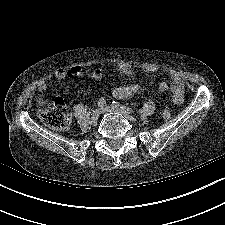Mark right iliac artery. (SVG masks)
Masks as SVG:
<instances>
[{"mask_svg":"<svg viewBox=\"0 0 225 225\" xmlns=\"http://www.w3.org/2000/svg\"><path fill=\"white\" fill-rule=\"evenodd\" d=\"M105 105H106L105 99H104V98H100V99L98 100V106L102 108V107L105 106Z\"/></svg>","mask_w":225,"mask_h":225,"instance_id":"1","label":"right iliac artery"}]
</instances>
